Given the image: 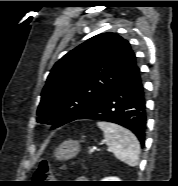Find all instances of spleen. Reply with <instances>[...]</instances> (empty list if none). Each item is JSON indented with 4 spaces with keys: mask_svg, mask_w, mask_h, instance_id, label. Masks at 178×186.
I'll use <instances>...</instances> for the list:
<instances>
[{
    "mask_svg": "<svg viewBox=\"0 0 178 186\" xmlns=\"http://www.w3.org/2000/svg\"><path fill=\"white\" fill-rule=\"evenodd\" d=\"M97 125L103 131L105 142L115 157L130 167L137 166L140 144L135 135L114 123L99 121Z\"/></svg>",
    "mask_w": 178,
    "mask_h": 186,
    "instance_id": "3e777b00",
    "label": "spleen"
}]
</instances>
